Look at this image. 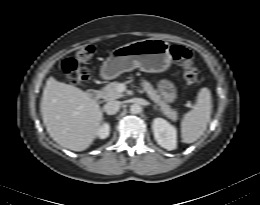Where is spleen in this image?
Instances as JSON below:
<instances>
[{
	"instance_id": "spleen-1",
	"label": "spleen",
	"mask_w": 260,
	"mask_h": 205,
	"mask_svg": "<svg viewBox=\"0 0 260 205\" xmlns=\"http://www.w3.org/2000/svg\"><path fill=\"white\" fill-rule=\"evenodd\" d=\"M211 112V92L208 88H202L193 109L185 114L181 122V135L184 143H193L203 135L210 121Z\"/></svg>"
}]
</instances>
